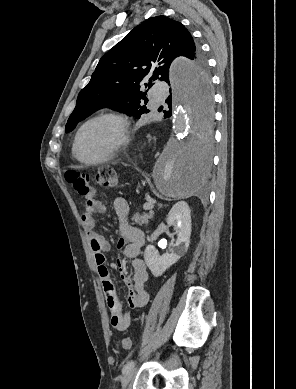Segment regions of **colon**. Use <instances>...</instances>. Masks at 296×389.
Segmentation results:
<instances>
[{
  "mask_svg": "<svg viewBox=\"0 0 296 389\" xmlns=\"http://www.w3.org/2000/svg\"><path fill=\"white\" fill-rule=\"evenodd\" d=\"M66 179L73 189L80 195L87 197L92 192V183L101 187L112 188L118 184V176L115 170L109 166L100 167L94 175L71 171L66 174ZM124 350H130L132 341L124 337L121 341Z\"/></svg>",
  "mask_w": 296,
  "mask_h": 389,
  "instance_id": "1",
  "label": "colon"
}]
</instances>
